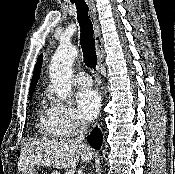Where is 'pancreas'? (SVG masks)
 Wrapping results in <instances>:
<instances>
[{"label":"pancreas","mask_w":175,"mask_h":174,"mask_svg":"<svg viewBox=\"0 0 175 174\" xmlns=\"http://www.w3.org/2000/svg\"><path fill=\"white\" fill-rule=\"evenodd\" d=\"M51 174H54V173H51ZM65 174H74V171L73 170H68L65 172Z\"/></svg>","instance_id":"obj_1"}]
</instances>
